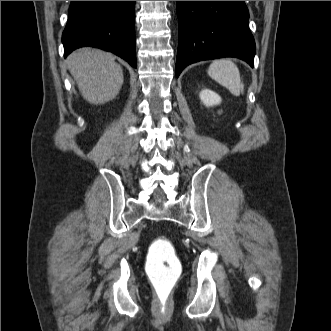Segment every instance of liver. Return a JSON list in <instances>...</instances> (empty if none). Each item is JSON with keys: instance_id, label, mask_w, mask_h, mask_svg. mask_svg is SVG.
<instances>
[{"instance_id": "liver-1", "label": "liver", "mask_w": 331, "mask_h": 331, "mask_svg": "<svg viewBox=\"0 0 331 331\" xmlns=\"http://www.w3.org/2000/svg\"><path fill=\"white\" fill-rule=\"evenodd\" d=\"M67 66L79 91L91 104L114 99L123 84V70L112 54L99 49L81 48L72 52Z\"/></svg>"}]
</instances>
